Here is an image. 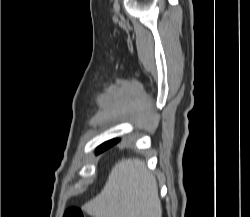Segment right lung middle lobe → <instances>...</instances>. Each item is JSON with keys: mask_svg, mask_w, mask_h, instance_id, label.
I'll return each instance as SVG.
<instances>
[{"mask_svg": "<svg viewBox=\"0 0 250 217\" xmlns=\"http://www.w3.org/2000/svg\"><path fill=\"white\" fill-rule=\"evenodd\" d=\"M119 140L118 139H113L110 141H107L105 143H103L102 145H100L97 149H96V153L99 154L102 151L108 149L109 147H111L112 145L116 144Z\"/></svg>", "mask_w": 250, "mask_h": 217, "instance_id": "1", "label": "right lung middle lobe"}]
</instances>
